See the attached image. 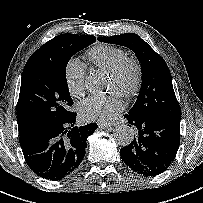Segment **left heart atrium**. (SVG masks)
I'll return each mask as SVG.
<instances>
[{
	"label": "left heart atrium",
	"instance_id": "1",
	"mask_svg": "<svg viewBox=\"0 0 203 203\" xmlns=\"http://www.w3.org/2000/svg\"><path fill=\"white\" fill-rule=\"evenodd\" d=\"M124 104L116 98L90 96L79 105V114L83 120L110 122L123 110Z\"/></svg>",
	"mask_w": 203,
	"mask_h": 203
}]
</instances>
